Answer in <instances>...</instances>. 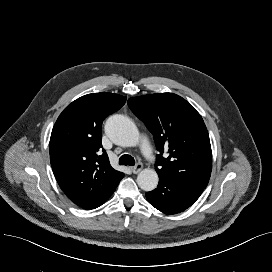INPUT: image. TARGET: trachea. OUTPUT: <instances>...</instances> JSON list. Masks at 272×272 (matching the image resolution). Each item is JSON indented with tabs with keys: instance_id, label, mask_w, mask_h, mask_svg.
I'll list each match as a JSON object with an SVG mask.
<instances>
[{
	"instance_id": "3493384b",
	"label": "trachea",
	"mask_w": 272,
	"mask_h": 272,
	"mask_svg": "<svg viewBox=\"0 0 272 272\" xmlns=\"http://www.w3.org/2000/svg\"><path fill=\"white\" fill-rule=\"evenodd\" d=\"M119 164L120 165H128V166H134L135 165V160L132 156L128 154H124L120 157L119 159Z\"/></svg>"
}]
</instances>
